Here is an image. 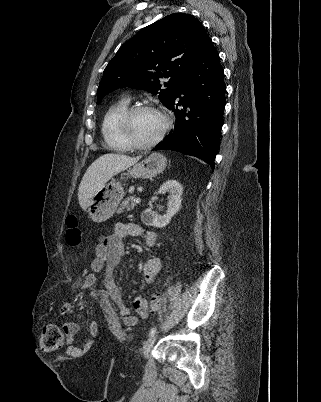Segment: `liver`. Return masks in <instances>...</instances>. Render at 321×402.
Masks as SVG:
<instances>
[{
  "label": "liver",
  "mask_w": 321,
  "mask_h": 402,
  "mask_svg": "<svg viewBox=\"0 0 321 402\" xmlns=\"http://www.w3.org/2000/svg\"><path fill=\"white\" fill-rule=\"evenodd\" d=\"M141 157L108 153L97 158L85 172L78 189V200L82 209L89 206L90 199L114 175L126 170Z\"/></svg>",
  "instance_id": "obj_1"
}]
</instances>
